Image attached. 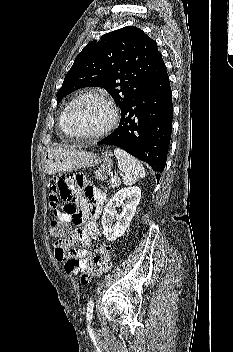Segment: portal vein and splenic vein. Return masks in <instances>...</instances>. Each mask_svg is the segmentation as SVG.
Listing matches in <instances>:
<instances>
[{
	"label": "portal vein and splenic vein",
	"instance_id": "obj_1",
	"mask_svg": "<svg viewBox=\"0 0 233 352\" xmlns=\"http://www.w3.org/2000/svg\"><path fill=\"white\" fill-rule=\"evenodd\" d=\"M117 180V178L115 176L111 177V182H115Z\"/></svg>",
	"mask_w": 233,
	"mask_h": 352
}]
</instances>
